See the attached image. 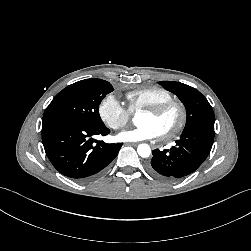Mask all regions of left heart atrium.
<instances>
[{
	"label": "left heart atrium",
	"mask_w": 251,
	"mask_h": 251,
	"mask_svg": "<svg viewBox=\"0 0 251 251\" xmlns=\"http://www.w3.org/2000/svg\"><path fill=\"white\" fill-rule=\"evenodd\" d=\"M159 136L156 128L150 124H143L135 128L124 130L117 135V139L126 142L149 140Z\"/></svg>",
	"instance_id": "39dd6f15"
}]
</instances>
